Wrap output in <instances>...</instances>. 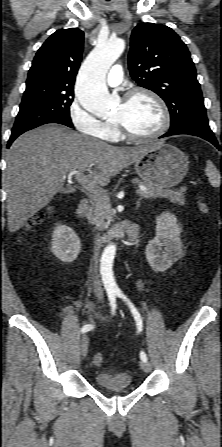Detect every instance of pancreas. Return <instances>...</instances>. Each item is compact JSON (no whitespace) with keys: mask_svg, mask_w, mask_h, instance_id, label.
I'll return each mask as SVG.
<instances>
[{"mask_svg":"<svg viewBox=\"0 0 222 447\" xmlns=\"http://www.w3.org/2000/svg\"><path fill=\"white\" fill-rule=\"evenodd\" d=\"M137 182L143 184L147 190L145 192L138 193L142 198H166L172 203L179 205L185 204V192L186 188L183 187L180 190L164 189L156 184H148L136 179ZM92 207L88 212V219L90 223L95 224L99 229H105L109 225L112 217L110 210L109 197L103 195H95L92 197Z\"/></svg>","mask_w":222,"mask_h":447,"instance_id":"cf45deb5","label":"pancreas"}]
</instances>
